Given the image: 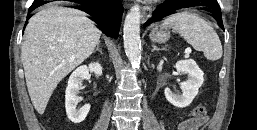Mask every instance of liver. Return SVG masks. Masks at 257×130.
<instances>
[{"instance_id": "liver-1", "label": "liver", "mask_w": 257, "mask_h": 130, "mask_svg": "<svg viewBox=\"0 0 257 130\" xmlns=\"http://www.w3.org/2000/svg\"><path fill=\"white\" fill-rule=\"evenodd\" d=\"M101 31L79 10L53 4L36 13L21 48L29 96L43 114L58 83L94 51Z\"/></svg>"}]
</instances>
